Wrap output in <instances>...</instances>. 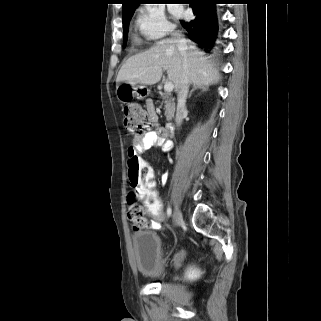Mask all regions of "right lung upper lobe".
Listing matches in <instances>:
<instances>
[{
	"label": "right lung upper lobe",
	"mask_w": 321,
	"mask_h": 321,
	"mask_svg": "<svg viewBox=\"0 0 321 321\" xmlns=\"http://www.w3.org/2000/svg\"><path fill=\"white\" fill-rule=\"evenodd\" d=\"M146 0H123L122 15L134 12L135 8Z\"/></svg>",
	"instance_id": "cb5924a9"
}]
</instances>
